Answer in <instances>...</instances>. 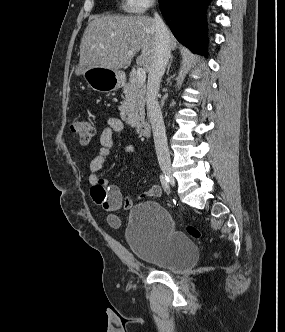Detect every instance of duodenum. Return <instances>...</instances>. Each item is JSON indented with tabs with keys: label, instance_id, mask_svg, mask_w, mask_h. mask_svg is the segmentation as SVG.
<instances>
[{
	"label": "duodenum",
	"instance_id": "duodenum-1",
	"mask_svg": "<svg viewBox=\"0 0 285 332\" xmlns=\"http://www.w3.org/2000/svg\"><path fill=\"white\" fill-rule=\"evenodd\" d=\"M136 130L142 137H148L151 133V126L147 122H143L137 125Z\"/></svg>",
	"mask_w": 285,
	"mask_h": 332
}]
</instances>
